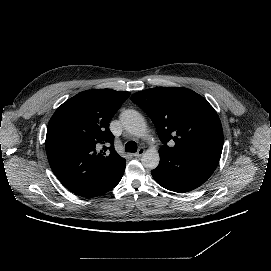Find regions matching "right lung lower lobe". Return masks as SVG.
<instances>
[{"label":"right lung lower lobe","mask_w":271,"mask_h":271,"mask_svg":"<svg viewBox=\"0 0 271 271\" xmlns=\"http://www.w3.org/2000/svg\"><path fill=\"white\" fill-rule=\"evenodd\" d=\"M121 178H122V175L120 176V178L116 182L113 183V185L110 188L106 189L104 192H102L98 195H102V194L108 192L109 190H111L112 188H114L120 182ZM98 195H94V196H98ZM94 196H90V197H94Z\"/></svg>","instance_id":"98d812e1"}]
</instances>
